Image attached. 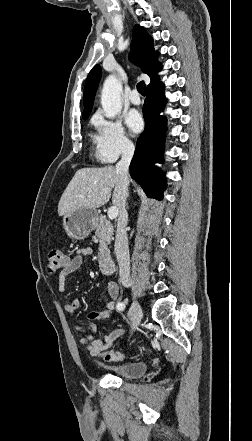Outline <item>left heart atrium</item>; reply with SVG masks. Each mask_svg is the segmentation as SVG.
Returning a JSON list of instances; mask_svg holds the SVG:
<instances>
[{
    "instance_id": "39dd6f15",
    "label": "left heart atrium",
    "mask_w": 252,
    "mask_h": 441,
    "mask_svg": "<svg viewBox=\"0 0 252 441\" xmlns=\"http://www.w3.org/2000/svg\"><path fill=\"white\" fill-rule=\"evenodd\" d=\"M127 125L134 133L139 132L142 128L143 121L137 112H131L126 119Z\"/></svg>"
}]
</instances>
